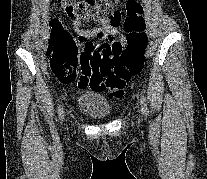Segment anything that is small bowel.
<instances>
[{"label":"small bowel","mask_w":207,"mask_h":179,"mask_svg":"<svg viewBox=\"0 0 207 179\" xmlns=\"http://www.w3.org/2000/svg\"><path fill=\"white\" fill-rule=\"evenodd\" d=\"M82 19L83 18L81 17H77L74 21V27L77 29L79 38L81 40H88V39L94 38L101 32L109 33L113 36H119L121 34L119 26L122 20V13L118 10L113 11L112 14L107 18H104L101 16L89 17V19H92L94 21L101 23L103 25L102 28H95V29H89V30L80 29ZM56 21L57 20H52L50 25L55 23Z\"/></svg>","instance_id":"obj_1"}]
</instances>
